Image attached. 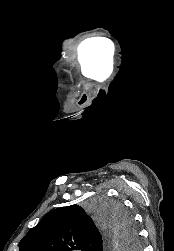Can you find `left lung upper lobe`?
I'll return each mask as SVG.
<instances>
[{"instance_id": "obj_1", "label": "left lung upper lobe", "mask_w": 174, "mask_h": 251, "mask_svg": "<svg viewBox=\"0 0 174 251\" xmlns=\"http://www.w3.org/2000/svg\"><path fill=\"white\" fill-rule=\"evenodd\" d=\"M97 217L107 226L118 243L137 242V231L122 205L104 203L96 209ZM112 239L102 236L92 219L78 205L48 212L41 222L22 238L20 251H103Z\"/></svg>"}]
</instances>
